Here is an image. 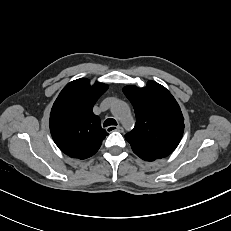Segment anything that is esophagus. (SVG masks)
Returning a JSON list of instances; mask_svg holds the SVG:
<instances>
[{"instance_id":"obj_1","label":"esophagus","mask_w":231,"mask_h":231,"mask_svg":"<svg viewBox=\"0 0 231 231\" xmlns=\"http://www.w3.org/2000/svg\"><path fill=\"white\" fill-rule=\"evenodd\" d=\"M106 131L111 133L113 131H119V132H123V128L121 126H109L106 128Z\"/></svg>"}]
</instances>
